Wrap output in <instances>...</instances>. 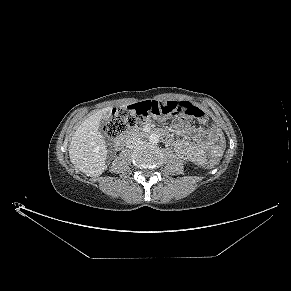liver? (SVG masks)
<instances>
[{
  "mask_svg": "<svg viewBox=\"0 0 291 291\" xmlns=\"http://www.w3.org/2000/svg\"><path fill=\"white\" fill-rule=\"evenodd\" d=\"M109 110L110 107H107L93 113L80 124L71 138L70 161L76 169L89 177L101 175L106 168V143L98 129L101 118Z\"/></svg>",
  "mask_w": 291,
  "mask_h": 291,
  "instance_id": "liver-1",
  "label": "liver"
}]
</instances>
